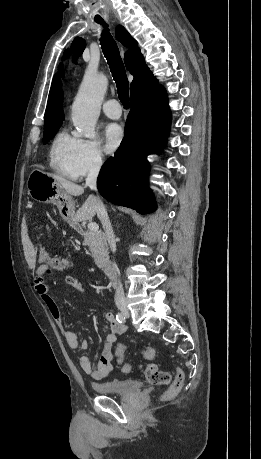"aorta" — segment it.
Segmentation results:
<instances>
[{"instance_id": "1", "label": "aorta", "mask_w": 261, "mask_h": 459, "mask_svg": "<svg viewBox=\"0 0 261 459\" xmlns=\"http://www.w3.org/2000/svg\"><path fill=\"white\" fill-rule=\"evenodd\" d=\"M108 86L103 74H86L72 105V121L79 136L95 137V126Z\"/></svg>"}]
</instances>
